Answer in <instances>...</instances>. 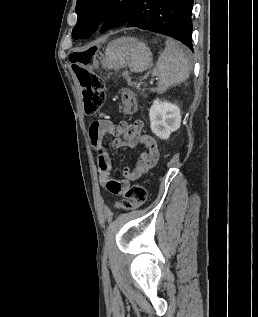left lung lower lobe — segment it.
Masks as SVG:
<instances>
[{"label": "left lung lower lobe", "instance_id": "obj_1", "mask_svg": "<svg viewBox=\"0 0 258 317\" xmlns=\"http://www.w3.org/2000/svg\"><path fill=\"white\" fill-rule=\"evenodd\" d=\"M192 8L193 0H137L125 25L170 36L193 51Z\"/></svg>", "mask_w": 258, "mask_h": 317}]
</instances>
